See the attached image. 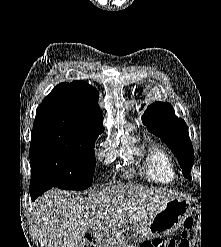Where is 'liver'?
I'll return each mask as SVG.
<instances>
[{
  "label": "liver",
  "mask_w": 221,
  "mask_h": 247,
  "mask_svg": "<svg viewBox=\"0 0 221 247\" xmlns=\"http://www.w3.org/2000/svg\"><path fill=\"white\" fill-rule=\"evenodd\" d=\"M176 196L154 188L117 185L84 195L52 189L32 206L48 247H79L87 230L108 232L146 221Z\"/></svg>",
  "instance_id": "6515ba94"
}]
</instances>
